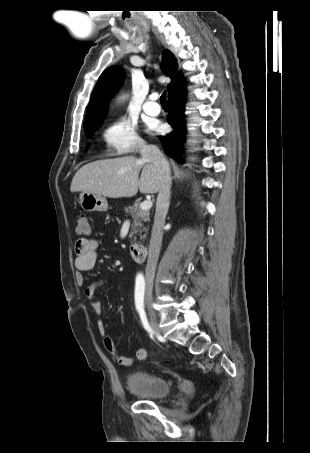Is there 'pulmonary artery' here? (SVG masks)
Here are the masks:
<instances>
[{
	"instance_id": "pulmonary-artery-1",
	"label": "pulmonary artery",
	"mask_w": 310,
	"mask_h": 453,
	"mask_svg": "<svg viewBox=\"0 0 310 453\" xmlns=\"http://www.w3.org/2000/svg\"><path fill=\"white\" fill-rule=\"evenodd\" d=\"M157 94H151L143 105V110L146 114L157 116L160 113V106L155 102Z\"/></svg>"
}]
</instances>
